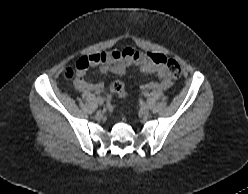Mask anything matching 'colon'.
Here are the masks:
<instances>
[{
    "mask_svg": "<svg viewBox=\"0 0 248 194\" xmlns=\"http://www.w3.org/2000/svg\"><path fill=\"white\" fill-rule=\"evenodd\" d=\"M152 60L154 63L164 67L165 72L170 79L179 77L181 69L179 63L175 59L161 54H153ZM94 63L95 62L91 59V55L81 58L74 66H68L65 69L64 77L67 80H74L77 78L79 72L85 71L89 66L95 65ZM111 91L119 97L127 96L124 85L119 81L112 83Z\"/></svg>",
    "mask_w": 248,
    "mask_h": 194,
    "instance_id": "colon-1",
    "label": "colon"
}]
</instances>
